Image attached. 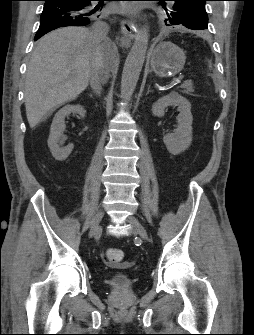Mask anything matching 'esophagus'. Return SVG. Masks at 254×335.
<instances>
[{
	"label": "esophagus",
	"mask_w": 254,
	"mask_h": 335,
	"mask_svg": "<svg viewBox=\"0 0 254 335\" xmlns=\"http://www.w3.org/2000/svg\"><path fill=\"white\" fill-rule=\"evenodd\" d=\"M120 28L122 36L120 38V45L124 48H129L131 45V40L137 32V24L134 20H121Z\"/></svg>",
	"instance_id": "esophagus-1"
}]
</instances>
